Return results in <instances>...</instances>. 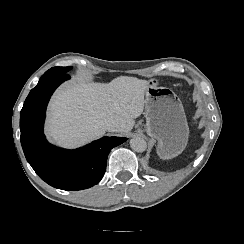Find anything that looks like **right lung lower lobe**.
<instances>
[{"instance_id":"1","label":"right lung lower lobe","mask_w":244,"mask_h":244,"mask_svg":"<svg viewBox=\"0 0 244 244\" xmlns=\"http://www.w3.org/2000/svg\"><path fill=\"white\" fill-rule=\"evenodd\" d=\"M69 78L66 72H49L40 78L20 113V140L28 163L42 180L58 189L81 190L102 179L110 150L127 138L103 137L76 150L56 148L47 142L43 133L47 103Z\"/></svg>"}]
</instances>
